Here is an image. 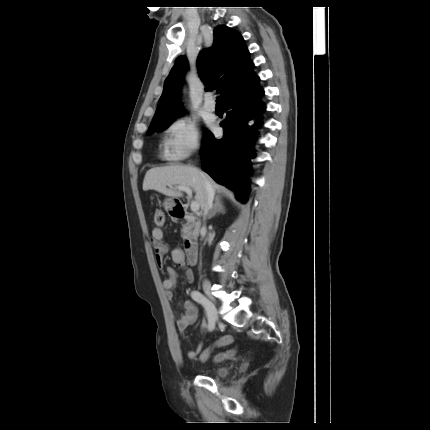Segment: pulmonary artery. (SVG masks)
<instances>
[{
  "label": "pulmonary artery",
  "instance_id": "pulmonary-artery-1",
  "mask_svg": "<svg viewBox=\"0 0 430 430\" xmlns=\"http://www.w3.org/2000/svg\"><path fill=\"white\" fill-rule=\"evenodd\" d=\"M204 107L207 111H215L216 104L210 97H207L204 102Z\"/></svg>",
  "mask_w": 430,
  "mask_h": 430
}]
</instances>
